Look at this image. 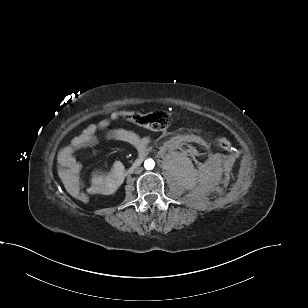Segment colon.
<instances>
[{"label": "colon", "mask_w": 308, "mask_h": 308, "mask_svg": "<svg viewBox=\"0 0 308 308\" xmlns=\"http://www.w3.org/2000/svg\"><path fill=\"white\" fill-rule=\"evenodd\" d=\"M122 116L127 121L152 131H164L173 123V116L167 111L149 113L126 112ZM217 143L220 148L226 151H229L232 147L231 142L225 137L218 138ZM74 198L85 204L89 202L90 195L86 191L81 190L74 195Z\"/></svg>", "instance_id": "5ec220e1"}]
</instances>
